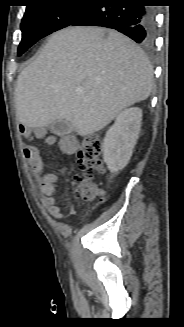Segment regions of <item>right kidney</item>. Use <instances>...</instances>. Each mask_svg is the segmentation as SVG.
I'll return each instance as SVG.
<instances>
[{"label":"right kidney","instance_id":"right-kidney-1","mask_svg":"<svg viewBox=\"0 0 184 327\" xmlns=\"http://www.w3.org/2000/svg\"><path fill=\"white\" fill-rule=\"evenodd\" d=\"M142 110L131 107L121 111L103 141V159L111 172L129 162L141 128Z\"/></svg>","mask_w":184,"mask_h":327}]
</instances>
